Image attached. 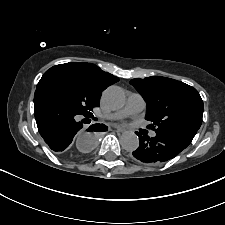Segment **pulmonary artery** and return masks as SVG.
<instances>
[{"label": "pulmonary artery", "mask_w": 225, "mask_h": 225, "mask_svg": "<svg viewBox=\"0 0 225 225\" xmlns=\"http://www.w3.org/2000/svg\"><path fill=\"white\" fill-rule=\"evenodd\" d=\"M145 101L143 97L137 93H130L126 102V105L123 109L113 114L105 115L107 119L120 118L123 116L136 114L141 112L145 108ZM156 135L155 132H151V136L154 137Z\"/></svg>", "instance_id": "pulmonary-artery-1"}]
</instances>
